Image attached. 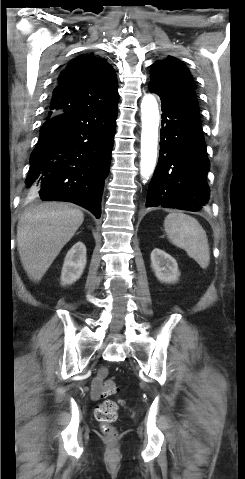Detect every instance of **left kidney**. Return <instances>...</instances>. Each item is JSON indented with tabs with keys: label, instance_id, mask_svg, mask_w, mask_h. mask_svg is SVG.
<instances>
[{
	"label": "left kidney",
	"instance_id": "left-kidney-1",
	"mask_svg": "<svg viewBox=\"0 0 245 479\" xmlns=\"http://www.w3.org/2000/svg\"><path fill=\"white\" fill-rule=\"evenodd\" d=\"M151 267L157 279L164 283L178 281L180 272L176 260L161 249L151 252Z\"/></svg>",
	"mask_w": 245,
	"mask_h": 479
}]
</instances>
